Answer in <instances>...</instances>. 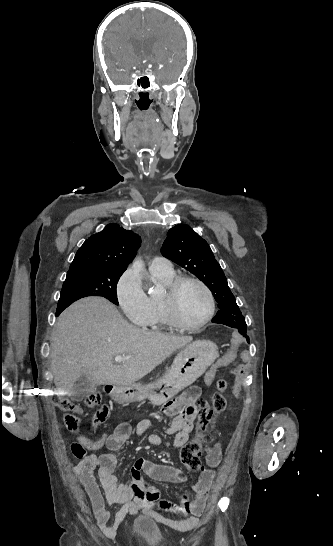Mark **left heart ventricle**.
Returning <instances> with one entry per match:
<instances>
[{
	"label": "left heart ventricle",
	"mask_w": 333,
	"mask_h": 546,
	"mask_svg": "<svg viewBox=\"0 0 333 546\" xmlns=\"http://www.w3.org/2000/svg\"><path fill=\"white\" fill-rule=\"evenodd\" d=\"M207 309V296L197 284L188 282L181 286L176 298V310L185 323H198Z\"/></svg>",
	"instance_id": "obj_1"
}]
</instances>
